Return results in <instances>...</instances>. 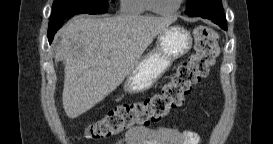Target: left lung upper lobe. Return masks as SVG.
<instances>
[{
    "instance_id": "obj_1",
    "label": "left lung upper lobe",
    "mask_w": 273,
    "mask_h": 144,
    "mask_svg": "<svg viewBox=\"0 0 273 144\" xmlns=\"http://www.w3.org/2000/svg\"><path fill=\"white\" fill-rule=\"evenodd\" d=\"M211 1L213 2L214 5L222 8L221 0H211ZM186 5H187V9L185 11V14L191 17H194L202 10L209 8V5H206L205 3L201 2V0H187Z\"/></svg>"
}]
</instances>
